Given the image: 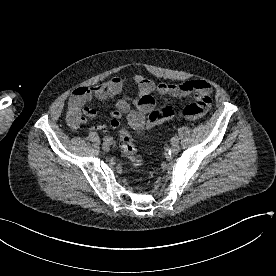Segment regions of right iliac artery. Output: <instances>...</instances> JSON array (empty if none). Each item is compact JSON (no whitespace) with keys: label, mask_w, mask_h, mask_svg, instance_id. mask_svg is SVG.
<instances>
[{"label":"right iliac artery","mask_w":276,"mask_h":276,"mask_svg":"<svg viewBox=\"0 0 276 276\" xmlns=\"http://www.w3.org/2000/svg\"><path fill=\"white\" fill-rule=\"evenodd\" d=\"M103 140H104L105 142H109V143H112V142H113V138H112V137H107V136H105V137L103 138Z\"/></svg>","instance_id":"82829eb1"}]
</instances>
